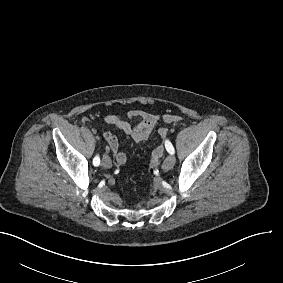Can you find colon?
Listing matches in <instances>:
<instances>
[{"instance_id":"5ec220e1","label":"colon","mask_w":283,"mask_h":283,"mask_svg":"<svg viewBox=\"0 0 283 283\" xmlns=\"http://www.w3.org/2000/svg\"><path fill=\"white\" fill-rule=\"evenodd\" d=\"M166 141V132L160 131L158 140H157V147H155L150 155V163H149V171L151 174H156L158 172V165L160 160L164 154V142Z\"/></svg>"}]
</instances>
